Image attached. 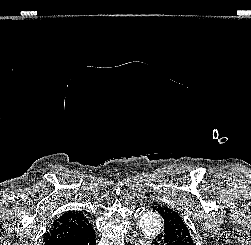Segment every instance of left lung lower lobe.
<instances>
[{"label": "left lung lower lobe", "instance_id": "left-lung-lower-lobe-1", "mask_svg": "<svg viewBox=\"0 0 251 245\" xmlns=\"http://www.w3.org/2000/svg\"><path fill=\"white\" fill-rule=\"evenodd\" d=\"M154 245H187L181 241L172 231L162 232L158 238L154 240Z\"/></svg>", "mask_w": 251, "mask_h": 245}]
</instances>
